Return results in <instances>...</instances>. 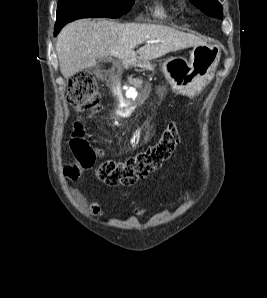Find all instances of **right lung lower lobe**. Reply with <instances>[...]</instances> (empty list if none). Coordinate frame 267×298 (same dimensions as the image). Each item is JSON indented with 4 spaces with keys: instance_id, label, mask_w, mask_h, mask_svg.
Returning a JSON list of instances; mask_svg holds the SVG:
<instances>
[{
    "instance_id": "98d812e1",
    "label": "right lung lower lobe",
    "mask_w": 267,
    "mask_h": 298,
    "mask_svg": "<svg viewBox=\"0 0 267 298\" xmlns=\"http://www.w3.org/2000/svg\"><path fill=\"white\" fill-rule=\"evenodd\" d=\"M63 27V25H59V24H56L55 25V35L61 30V28Z\"/></svg>"
}]
</instances>
